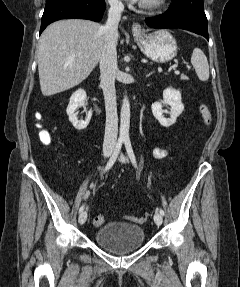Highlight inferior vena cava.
I'll return each mask as SVG.
<instances>
[{
    "label": "inferior vena cava",
    "mask_w": 240,
    "mask_h": 287,
    "mask_svg": "<svg viewBox=\"0 0 240 287\" xmlns=\"http://www.w3.org/2000/svg\"><path fill=\"white\" fill-rule=\"evenodd\" d=\"M110 8L106 24L102 26L104 35V45L100 56L101 88L103 89L106 126L103 147L113 148L117 142L118 134V116L115 91V77L117 68V39L118 24L121 19V13L124 5L120 0H108Z\"/></svg>",
    "instance_id": "602c4592"
}]
</instances>
